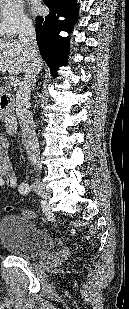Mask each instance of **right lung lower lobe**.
Returning a JSON list of instances; mask_svg holds the SVG:
<instances>
[{"label":"right lung lower lobe","instance_id":"1","mask_svg":"<svg viewBox=\"0 0 129 309\" xmlns=\"http://www.w3.org/2000/svg\"><path fill=\"white\" fill-rule=\"evenodd\" d=\"M49 7V14L36 18V40L43 59L56 75V70L66 60L67 39L59 36L61 31H70L77 13L76 0H44ZM64 17L65 20H59Z\"/></svg>","mask_w":129,"mask_h":309}]
</instances>
